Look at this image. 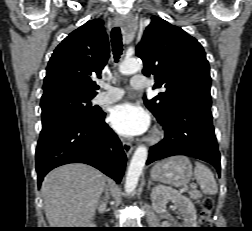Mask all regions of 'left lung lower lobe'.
Returning <instances> with one entry per match:
<instances>
[{
	"mask_svg": "<svg viewBox=\"0 0 252 231\" xmlns=\"http://www.w3.org/2000/svg\"><path fill=\"white\" fill-rule=\"evenodd\" d=\"M164 139L149 150L147 164L174 155L191 156L212 164L220 176V153L212 124L211 103L189 98L174 103L157 119Z\"/></svg>",
	"mask_w": 252,
	"mask_h": 231,
	"instance_id": "0a47b994",
	"label": "left lung lower lobe"
}]
</instances>
